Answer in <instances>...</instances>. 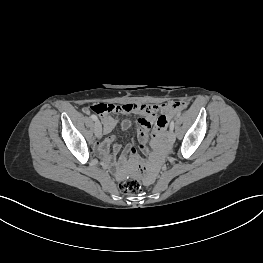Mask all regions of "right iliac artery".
Returning a JSON list of instances; mask_svg holds the SVG:
<instances>
[{
	"label": "right iliac artery",
	"instance_id": "right-iliac-artery-1",
	"mask_svg": "<svg viewBox=\"0 0 263 263\" xmlns=\"http://www.w3.org/2000/svg\"><path fill=\"white\" fill-rule=\"evenodd\" d=\"M91 118H92V120H94V121H98V118H97V116H96V115H94V114H92V115H91Z\"/></svg>",
	"mask_w": 263,
	"mask_h": 263
}]
</instances>
